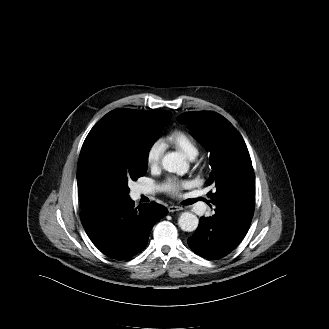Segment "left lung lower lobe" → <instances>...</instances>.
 <instances>
[{"label":"left lung lower lobe","instance_id":"0a47b994","mask_svg":"<svg viewBox=\"0 0 329 329\" xmlns=\"http://www.w3.org/2000/svg\"><path fill=\"white\" fill-rule=\"evenodd\" d=\"M214 205L215 214L200 218L197 230L188 238L190 248L209 259L226 256L245 237L254 212V176L235 197Z\"/></svg>","mask_w":329,"mask_h":329}]
</instances>
